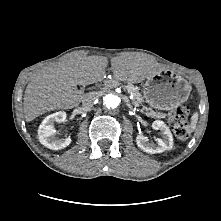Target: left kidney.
I'll return each mask as SVG.
<instances>
[{"label": "left kidney", "mask_w": 221, "mask_h": 221, "mask_svg": "<svg viewBox=\"0 0 221 221\" xmlns=\"http://www.w3.org/2000/svg\"><path fill=\"white\" fill-rule=\"evenodd\" d=\"M152 127L162 132L163 139L158 138L157 139L158 146H156L153 143H149V139L147 137L139 134L136 137V143L138 147L150 154L161 153L164 152L165 150L172 149L173 136L171 131L169 130V127H167L166 124L161 120H155L152 123Z\"/></svg>", "instance_id": "obj_1"}]
</instances>
